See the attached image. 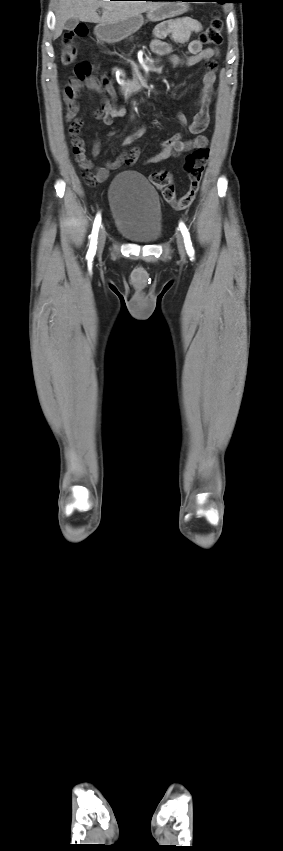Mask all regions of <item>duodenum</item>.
<instances>
[{
	"label": "duodenum",
	"mask_w": 283,
	"mask_h": 851,
	"mask_svg": "<svg viewBox=\"0 0 283 851\" xmlns=\"http://www.w3.org/2000/svg\"><path fill=\"white\" fill-rule=\"evenodd\" d=\"M147 82H148L147 74L128 79L122 84L121 91L124 94H129V93L138 91V90L144 88L146 86Z\"/></svg>",
	"instance_id": "obj_1"
}]
</instances>
